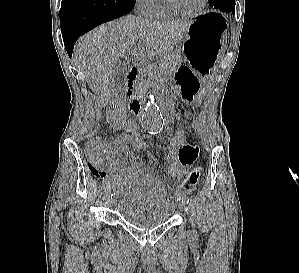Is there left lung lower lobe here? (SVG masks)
I'll return each mask as SVG.
<instances>
[{"label":"left lung lower lobe","instance_id":"0a47b994","mask_svg":"<svg viewBox=\"0 0 299 273\" xmlns=\"http://www.w3.org/2000/svg\"><path fill=\"white\" fill-rule=\"evenodd\" d=\"M235 0H218L212 7L219 9L222 12H232L235 13Z\"/></svg>","mask_w":299,"mask_h":273}]
</instances>
